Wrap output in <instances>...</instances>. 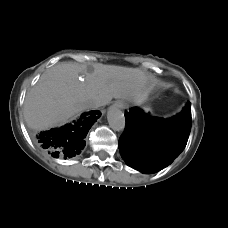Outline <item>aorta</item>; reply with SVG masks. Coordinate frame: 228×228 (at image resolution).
Here are the masks:
<instances>
[{"label": "aorta", "mask_w": 228, "mask_h": 228, "mask_svg": "<svg viewBox=\"0 0 228 228\" xmlns=\"http://www.w3.org/2000/svg\"><path fill=\"white\" fill-rule=\"evenodd\" d=\"M109 126L114 131H123L125 128V117L123 112L116 106H111L107 112Z\"/></svg>", "instance_id": "obj_1"}]
</instances>
